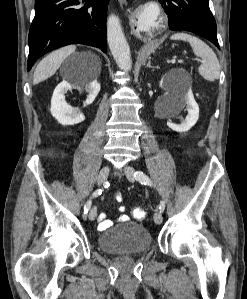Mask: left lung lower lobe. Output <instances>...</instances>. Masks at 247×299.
Returning <instances> with one entry per match:
<instances>
[{"label": "left lung lower lobe", "mask_w": 247, "mask_h": 299, "mask_svg": "<svg viewBox=\"0 0 247 299\" xmlns=\"http://www.w3.org/2000/svg\"><path fill=\"white\" fill-rule=\"evenodd\" d=\"M168 15L169 28L190 31L211 41L218 49L216 22L208 0H158Z\"/></svg>", "instance_id": "obj_1"}]
</instances>
